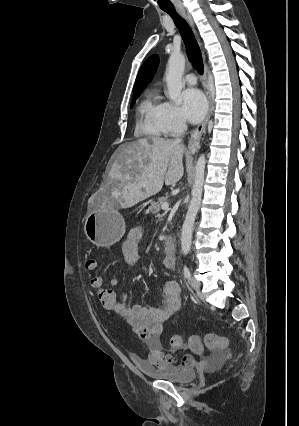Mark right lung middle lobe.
Instances as JSON below:
<instances>
[{"mask_svg": "<svg viewBox=\"0 0 299 426\" xmlns=\"http://www.w3.org/2000/svg\"><path fill=\"white\" fill-rule=\"evenodd\" d=\"M142 91H138V92H133V99L131 102V107L135 104L136 99L139 97V95L141 94Z\"/></svg>", "mask_w": 299, "mask_h": 426, "instance_id": "right-lung-middle-lobe-1", "label": "right lung middle lobe"}]
</instances>
